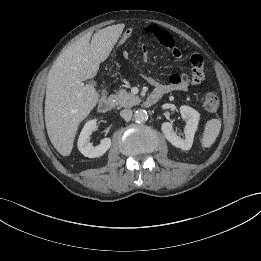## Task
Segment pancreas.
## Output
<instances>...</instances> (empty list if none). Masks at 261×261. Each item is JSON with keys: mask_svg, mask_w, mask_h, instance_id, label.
Instances as JSON below:
<instances>
[{"mask_svg": "<svg viewBox=\"0 0 261 261\" xmlns=\"http://www.w3.org/2000/svg\"><path fill=\"white\" fill-rule=\"evenodd\" d=\"M110 100H115L114 104L118 108H129L140 102V98L125 89H121L115 94L110 95Z\"/></svg>", "mask_w": 261, "mask_h": 261, "instance_id": "cf45deb5", "label": "pancreas"}]
</instances>
